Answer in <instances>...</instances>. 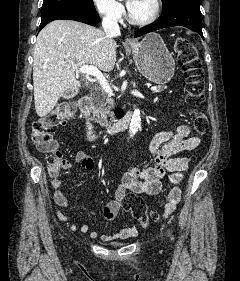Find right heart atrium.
I'll use <instances>...</instances> for the list:
<instances>
[{
    "label": "right heart atrium",
    "instance_id": "right-heart-atrium-1",
    "mask_svg": "<svg viewBox=\"0 0 240 281\" xmlns=\"http://www.w3.org/2000/svg\"><path fill=\"white\" fill-rule=\"evenodd\" d=\"M98 14L110 22H119L124 15V7L118 0H92Z\"/></svg>",
    "mask_w": 240,
    "mask_h": 281
}]
</instances>
